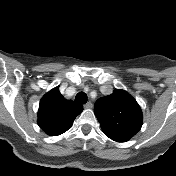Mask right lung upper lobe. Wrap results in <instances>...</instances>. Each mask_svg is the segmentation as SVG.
I'll return each mask as SVG.
<instances>
[{"label": "right lung upper lobe", "instance_id": "obj_1", "mask_svg": "<svg viewBox=\"0 0 176 176\" xmlns=\"http://www.w3.org/2000/svg\"><path fill=\"white\" fill-rule=\"evenodd\" d=\"M83 107L66 100L59 91V86L46 93L38 109V125L48 135L57 136L67 131Z\"/></svg>", "mask_w": 176, "mask_h": 176}]
</instances>
